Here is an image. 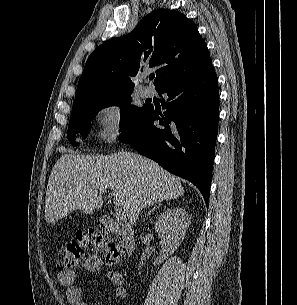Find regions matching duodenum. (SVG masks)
Masks as SVG:
<instances>
[{
	"label": "duodenum",
	"mask_w": 297,
	"mask_h": 305,
	"mask_svg": "<svg viewBox=\"0 0 297 305\" xmlns=\"http://www.w3.org/2000/svg\"><path fill=\"white\" fill-rule=\"evenodd\" d=\"M102 223L112 233L121 238L123 252L127 257H130L135 250L134 232L130 225L116 221L110 215H105L102 218Z\"/></svg>",
	"instance_id": "duodenum-1"
}]
</instances>
